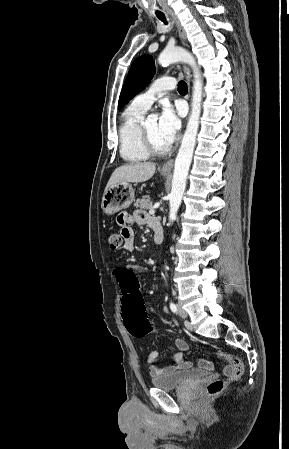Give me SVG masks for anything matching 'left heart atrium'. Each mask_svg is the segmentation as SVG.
Segmentation results:
<instances>
[{
    "label": "left heart atrium",
    "instance_id": "1",
    "mask_svg": "<svg viewBox=\"0 0 289 449\" xmlns=\"http://www.w3.org/2000/svg\"><path fill=\"white\" fill-rule=\"evenodd\" d=\"M158 127L163 139L169 145L172 144L181 127V121L172 105L165 103L162 106L161 115L158 119Z\"/></svg>",
    "mask_w": 289,
    "mask_h": 449
}]
</instances>
